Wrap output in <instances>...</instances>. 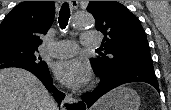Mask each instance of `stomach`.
<instances>
[{
  "label": "stomach",
  "mask_w": 171,
  "mask_h": 110,
  "mask_svg": "<svg viewBox=\"0 0 171 110\" xmlns=\"http://www.w3.org/2000/svg\"><path fill=\"white\" fill-rule=\"evenodd\" d=\"M98 110H139L140 97L131 88L118 87L104 96Z\"/></svg>",
  "instance_id": "obj_1"
}]
</instances>
